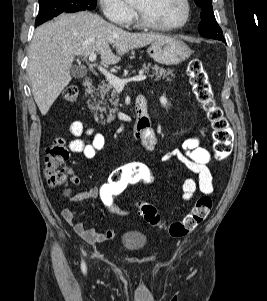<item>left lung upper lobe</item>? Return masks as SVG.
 <instances>
[{"label":"left lung upper lobe","instance_id":"obj_1","mask_svg":"<svg viewBox=\"0 0 267 301\" xmlns=\"http://www.w3.org/2000/svg\"><path fill=\"white\" fill-rule=\"evenodd\" d=\"M195 3L202 9V12L200 13L201 22L198 26L200 35L216 40L224 39L223 32L219 27L213 13L212 1L195 0Z\"/></svg>","mask_w":267,"mask_h":301}]
</instances>
